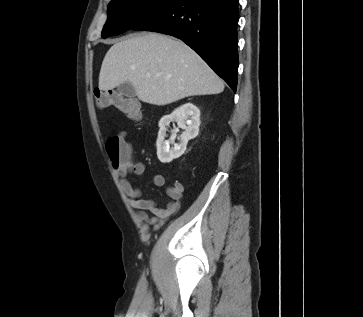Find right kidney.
Returning <instances> with one entry per match:
<instances>
[{"label": "right kidney", "mask_w": 363, "mask_h": 317, "mask_svg": "<svg viewBox=\"0 0 363 317\" xmlns=\"http://www.w3.org/2000/svg\"><path fill=\"white\" fill-rule=\"evenodd\" d=\"M170 122H177L178 126L185 129L180 136V143L170 148L169 141L165 140L167 127ZM200 110L192 103H186L175 109L170 115H165L159 121V133L156 142L157 156L162 163H170L179 158L186 150L189 140L199 133Z\"/></svg>", "instance_id": "obj_1"}]
</instances>
